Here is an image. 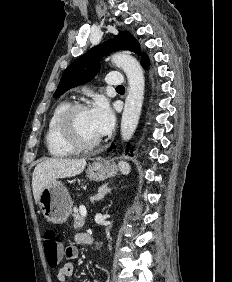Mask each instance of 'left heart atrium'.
Listing matches in <instances>:
<instances>
[{"mask_svg":"<svg viewBox=\"0 0 232 282\" xmlns=\"http://www.w3.org/2000/svg\"><path fill=\"white\" fill-rule=\"evenodd\" d=\"M93 125L100 136L110 133L115 124V116L109 103L103 99H98L90 109Z\"/></svg>","mask_w":232,"mask_h":282,"instance_id":"left-heart-atrium-1","label":"left heart atrium"}]
</instances>
